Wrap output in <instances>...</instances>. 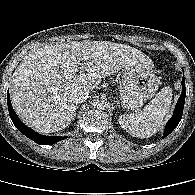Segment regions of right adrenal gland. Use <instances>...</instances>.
Returning a JSON list of instances; mask_svg holds the SVG:
<instances>
[{
  "label": "right adrenal gland",
  "instance_id": "obj_1",
  "mask_svg": "<svg viewBox=\"0 0 195 195\" xmlns=\"http://www.w3.org/2000/svg\"><path fill=\"white\" fill-rule=\"evenodd\" d=\"M78 108V105L75 106V110Z\"/></svg>",
  "mask_w": 195,
  "mask_h": 195
}]
</instances>
